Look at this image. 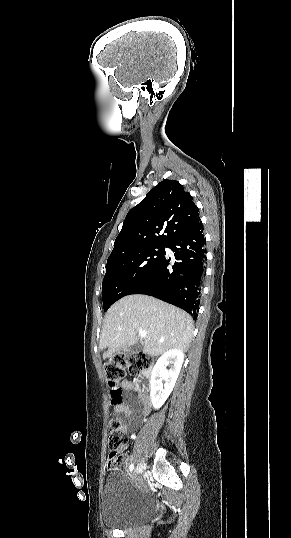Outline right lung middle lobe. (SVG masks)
Wrapping results in <instances>:
<instances>
[{"label": "right lung middle lobe", "instance_id": "right-lung-middle-lobe-1", "mask_svg": "<svg viewBox=\"0 0 291 538\" xmlns=\"http://www.w3.org/2000/svg\"><path fill=\"white\" fill-rule=\"evenodd\" d=\"M166 246H147L107 260L102 283L105 311L120 298L131 294L145 280L165 255Z\"/></svg>", "mask_w": 291, "mask_h": 538}]
</instances>
